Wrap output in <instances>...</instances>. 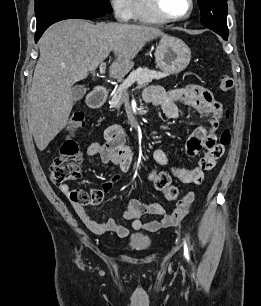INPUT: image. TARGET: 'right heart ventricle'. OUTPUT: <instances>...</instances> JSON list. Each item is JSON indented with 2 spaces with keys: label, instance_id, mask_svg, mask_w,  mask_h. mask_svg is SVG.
Masks as SVG:
<instances>
[{
  "label": "right heart ventricle",
  "instance_id": "e07e8e85",
  "mask_svg": "<svg viewBox=\"0 0 261 306\" xmlns=\"http://www.w3.org/2000/svg\"><path fill=\"white\" fill-rule=\"evenodd\" d=\"M132 18L144 23H163L162 20L150 12L145 0L132 1Z\"/></svg>",
  "mask_w": 261,
  "mask_h": 306
}]
</instances>
